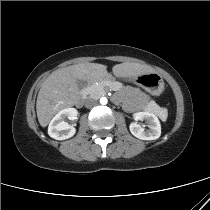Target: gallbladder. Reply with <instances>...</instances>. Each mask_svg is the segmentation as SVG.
Masks as SVG:
<instances>
[{"label": "gallbladder", "mask_w": 210, "mask_h": 210, "mask_svg": "<svg viewBox=\"0 0 210 210\" xmlns=\"http://www.w3.org/2000/svg\"><path fill=\"white\" fill-rule=\"evenodd\" d=\"M77 85H78L79 89H83L86 87L87 82L84 80H77Z\"/></svg>", "instance_id": "gallbladder-1"}]
</instances>
